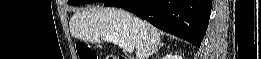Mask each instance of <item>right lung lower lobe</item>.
<instances>
[{"mask_svg":"<svg viewBox=\"0 0 261 59\" xmlns=\"http://www.w3.org/2000/svg\"><path fill=\"white\" fill-rule=\"evenodd\" d=\"M105 6L121 7L157 28L200 47L211 13V0H107Z\"/></svg>","mask_w":261,"mask_h":59,"instance_id":"right-lung-lower-lobe-1","label":"right lung lower lobe"}]
</instances>
